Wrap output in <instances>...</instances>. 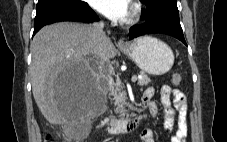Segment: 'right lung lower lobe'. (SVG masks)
<instances>
[{
    "mask_svg": "<svg viewBox=\"0 0 227 142\" xmlns=\"http://www.w3.org/2000/svg\"><path fill=\"white\" fill-rule=\"evenodd\" d=\"M98 20L96 13L87 3L72 7H57L36 12L34 32L36 34L43 26L60 21L93 22Z\"/></svg>",
    "mask_w": 227,
    "mask_h": 142,
    "instance_id": "obj_1",
    "label": "right lung lower lobe"
}]
</instances>
